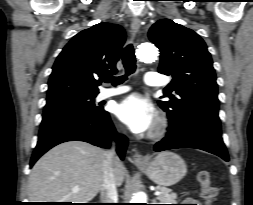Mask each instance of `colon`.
I'll use <instances>...</instances> for the list:
<instances>
[{
  "mask_svg": "<svg viewBox=\"0 0 253 205\" xmlns=\"http://www.w3.org/2000/svg\"><path fill=\"white\" fill-rule=\"evenodd\" d=\"M200 185L199 193L207 205L213 203L217 198V188L213 185L210 174L207 171H202L198 175Z\"/></svg>",
  "mask_w": 253,
  "mask_h": 205,
  "instance_id": "5ec220e1",
  "label": "colon"
}]
</instances>
